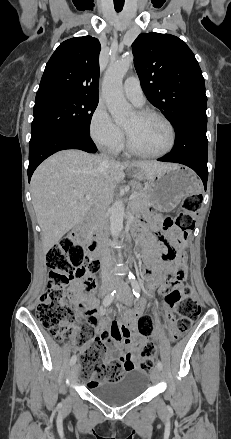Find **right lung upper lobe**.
<instances>
[{"label": "right lung upper lobe", "instance_id": "cb5924a9", "mask_svg": "<svg viewBox=\"0 0 231 439\" xmlns=\"http://www.w3.org/2000/svg\"><path fill=\"white\" fill-rule=\"evenodd\" d=\"M100 49L99 40L91 36L62 42L46 64L36 99L58 94L99 99Z\"/></svg>", "mask_w": 231, "mask_h": 439}]
</instances>
